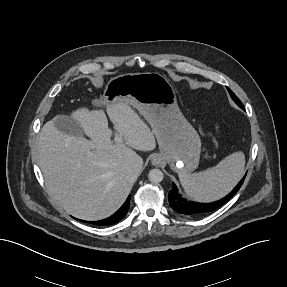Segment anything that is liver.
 Here are the masks:
<instances>
[{"label":"liver","instance_id":"6515ba94","mask_svg":"<svg viewBox=\"0 0 287 287\" xmlns=\"http://www.w3.org/2000/svg\"><path fill=\"white\" fill-rule=\"evenodd\" d=\"M106 111L125 143L113 144L105 113L86 107L71 116L90 140L59 131L58 117L45 123L39 136L38 164L51 196L84 220L106 218L122 206L140 172L131 167L139 156L134 149L156 147L153 131L128 104H108Z\"/></svg>","mask_w":287,"mask_h":287}]
</instances>
